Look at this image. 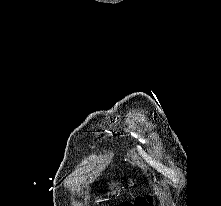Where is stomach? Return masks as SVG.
Masks as SVG:
<instances>
[{"mask_svg":"<svg viewBox=\"0 0 221 206\" xmlns=\"http://www.w3.org/2000/svg\"><path fill=\"white\" fill-rule=\"evenodd\" d=\"M120 189V187L115 184V183H112L111 186H110V192L109 194H116V192Z\"/></svg>","mask_w":221,"mask_h":206,"instance_id":"1","label":"stomach"}]
</instances>
